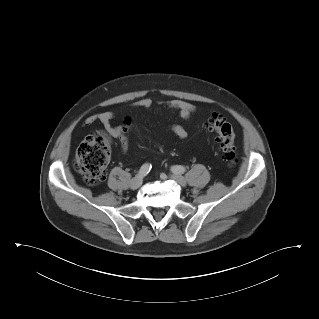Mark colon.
Segmentation results:
<instances>
[{"label":"colon","instance_id":"5ec220e1","mask_svg":"<svg viewBox=\"0 0 319 319\" xmlns=\"http://www.w3.org/2000/svg\"><path fill=\"white\" fill-rule=\"evenodd\" d=\"M129 120L124 122L122 131H126ZM207 129L214 134L220 147L223 159L229 166L235 165V133L232 125L219 114H213L207 124ZM126 141V136L123 135ZM110 156L108 141L100 135L87 136L77 149L74 165L76 170L90 185H98L105 179L106 167Z\"/></svg>","mask_w":319,"mask_h":319}]
</instances>
